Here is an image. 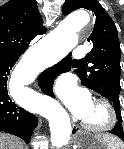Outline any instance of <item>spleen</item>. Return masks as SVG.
Here are the masks:
<instances>
[{
  "instance_id": "obj_1",
  "label": "spleen",
  "mask_w": 124,
  "mask_h": 149,
  "mask_svg": "<svg viewBox=\"0 0 124 149\" xmlns=\"http://www.w3.org/2000/svg\"><path fill=\"white\" fill-rule=\"evenodd\" d=\"M118 145L119 142L115 138H113V141L109 142V149H118Z\"/></svg>"
}]
</instances>
